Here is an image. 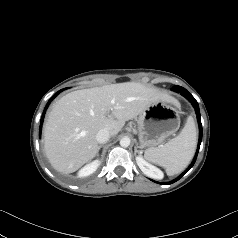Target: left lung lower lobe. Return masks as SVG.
Here are the masks:
<instances>
[{"instance_id":"1","label":"left lung lower lobe","mask_w":238,"mask_h":238,"mask_svg":"<svg viewBox=\"0 0 238 238\" xmlns=\"http://www.w3.org/2000/svg\"><path fill=\"white\" fill-rule=\"evenodd\" d=\"M171 90H173L175 92H178L181 95H183L185 98H187L192 103L193 107L195 108V111H196V114H197V120H198V124H199V141H198V148H197L196 154L194 156V159H193L192 163L188 167V169L185 172H183L178 178H176L175 180H173V181H171L169 183H166V184H171V183L176 182L186 172H188L192 168V166L194 165V163L196 161V158H197V155H198V151H199V148H200V144H201V141H202V124H201V117H200V110H199L198 102L195 100V98L185 88H183L181 86H174Z\"/></svg>"}]
</instances>
